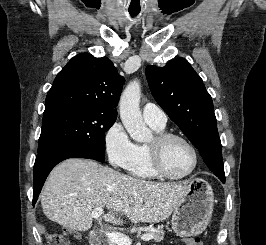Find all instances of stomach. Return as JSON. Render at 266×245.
<instances>
[{"instance_id": "0dacf381", "label": "stomach", "mask_w": 266, "mask_h": 245, "mask_svg": "<svg viewBox=\"0 0 266 245\" xmlns=\"http://www.w3.org/2000/svg\"><path fill=\"white\" fill-rule=\"evenodd\" d=\"M182 203L174 207L172 229L177 237H196L207 229L214 207V193L205 179H190Z\"/></svg>"}]
</instances>
